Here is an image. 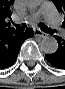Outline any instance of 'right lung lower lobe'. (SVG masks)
I'll list each match as a JSON object with an SVG mask.
<instances>
[{"instance_id":"1","label":"right lung lower lobe","mask_w":65,"mask_h":89,"mask_svg":"<svg viewBox=\"0 0 65 89\" xmlns=\"http://www.w3.org/2000/svg\"><path fill=\"white\" fill-rule=\"evenodd\" d=\"M33 36V30L16 31L13 28L0 31V69L14 64L23 42Z\"/></svg>"}]
</instances>
